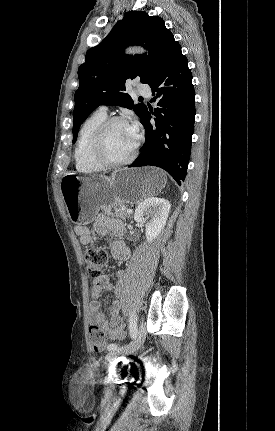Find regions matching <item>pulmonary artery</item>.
<instances>
[{
    "label": "pulmonary artery",
    "instance_id": "obj_1",
    "mask_svg": "<svg viewBox=\"0 0 275 431\" xmlns=\"http://www.w3.org/2000/svg\"><path fill=\"white\" fill-rule=\"evenodd\" d=\"M137 90L140 94H143V95H149L151 92L149 86H147V85H139L137 87ZM99 111L106 114L107 113V107L106 106H100Z\"/></svg>",
    "mask_w": 275,
    "mask_h": 431
}]
</instances>
